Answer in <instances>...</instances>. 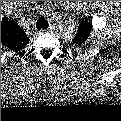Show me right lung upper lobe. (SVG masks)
<instances>
[{
	"mask_svg": "<svg viewBox=\"0 0 121 121\" xmlns=\"http://www.w3.org/2000/svg\"><path fill=\"white\" fill-rule=\"evenodd\" d=\"M29 38L26 33L12 20L1 22V43L9 50L18 51L26 46Z\"/></svg>",
	"mask_w": 121,
	"mask_h": 121,
	"instance_id": "1",
	"label": "right lung upper lobe"
}]
</instances>
